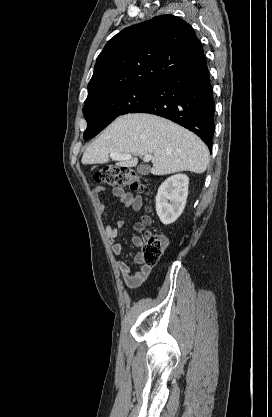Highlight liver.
I'll list each match as a JSON object with an SVG mask.
<instances>
[{"label":"liver","instance_id":"1","mask_svg":"<svg viewBox=\"0 0 272 417\" xmlns=\"http://www.w3.org/2000/svg\"><path fill=\"white\" fill-rule=\"evenodd\" d=\"M111 152L135 156L117 162L120 167H134L138 163L136 156L152 154L153 175L180 171L200 174L209 163L208 148L194 133L167 119L144 113L118 117L86 148L81 162L104 164Z\"/></svg>","mask_w":272,"mask_h":417}]
</instances>
